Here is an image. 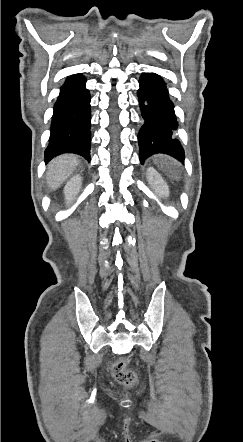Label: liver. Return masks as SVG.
Instances as JSON below:
<instances>
[{"label": "liver", "instance_id": "liver-1", "mask_svg": "<svg viewBox=\"0 0 243 442\" xmlns=\"http://www.w3.org/2000/svg\"><path fill=\"white\" fill-rule=\"evenodd\" d=\"M78 163L79 158L74 154L61 155L53 159L49 163L46 175L50 189H58L70 177Z\"/></svg>", "mask_w": 243, "mask_h": 442}]
</instances>
